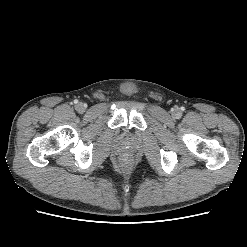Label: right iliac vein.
Listing matches in <instances>:
<instances>
[{
    "instance_id": "1",
    "label": "right iliac vein",
    "mask_w": 247,
    "mask_h": 247,
    "mask_svg": "<svg viewBox=\"0 0 247 247\" xmlns=\"http://www.w3.org/2000/svg\"><path fill=\"white\" fill-rule=\"evenodd\" d=\"M76 110H77L79 113H83V112L86 110L85 104L82 103V102H79V103L76 105Z\"/></svg>"
}]
</instances>
